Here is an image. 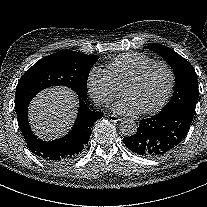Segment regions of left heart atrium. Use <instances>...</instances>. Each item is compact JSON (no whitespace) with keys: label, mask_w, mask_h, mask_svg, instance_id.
Wrapping results in <instances>:
<instances>
[{"label":"left heart atrium","mask_w":207,"mask_h":207,"mask_svg":"<svg viewBox=\"0 0 207 207\" xmlns=\"http://www.w3.org/2000/svg\"><path fill=\"white\" fill-rule=\"evenodd\" d=\"M113 109H114V111H116L118 113L126 114V115H135V114L138 113V111L135 108V106L127 98H124V99L116 102L113 105Z\"/></svg>","instance_id":"obj_1"}]
</instances>
